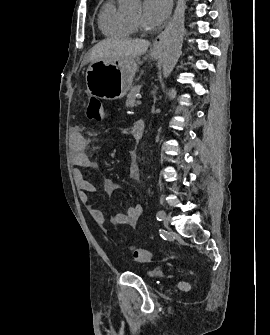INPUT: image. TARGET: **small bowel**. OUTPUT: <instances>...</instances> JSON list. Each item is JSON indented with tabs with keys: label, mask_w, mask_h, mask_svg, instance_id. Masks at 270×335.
<instances>
[{
	"label": "small bowel",
	"mask_w": 270,
	"mask_h": 335,
	"mask_svg": "<svg viewBox=\"0 0 270 335\" xmlns=\"http://www.w3.org/2000/svg\"><path fill=\"white\" fill-rule=\"evenodd\" d=\"M87 146V139L81 133L80 128L73 127L70 131V159L74 165L73 177L79 191V197L82 203L87 205L92 218L99 225H104L106 223V219L103 212L89 204V194L95 193L97 188L93 183L85 178L82 169L97 170L98 164L91 160L87 155ZM130 157L132 159L130 177L138 180L140 178V173L136 165L137 155L135 150L130 151ZM103 186L108 195H112L117 189L116 183L110 178H106L104 180ZM143 212L144 208L141 204L132 205L128 207L125 212L117 213L112 218L111 223L114 225L135 226L138 224Z\"/></svg>",
	"instance_id": "obj_1"
}]
</instances>
